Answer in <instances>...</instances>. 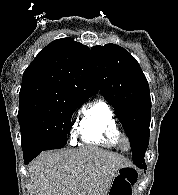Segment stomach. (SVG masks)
I'll list each match as a JSON object with an SVG mask.
<instances>
[{
  "instance_id": "stomach-1",
  "label": "stomach",
  "mask_w": 178,
  "mask_h": 195,
  "mask_svg": "<svg viewBox=\"0 0 178 195\" xmlns=\"http://www.w3.org/2000/svg\"><path fill=\"white\" fill-rule=\"evenodd\" d=\"M127 168H130V167H124V168H120L117 173L115 174V177L113 179V182H112V185H111V188L108 192V195H112L114 194V191H115V187H116V183L117 181L121 180V178L125 177L126 174L131 171L130 169H127ZM125 180L127 181V179L125 178ZM125 190H128L127 188H125ZM124 192V191H122Z\"/></svg>"
}]
</instances>
